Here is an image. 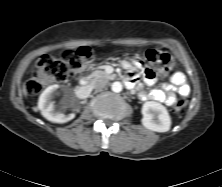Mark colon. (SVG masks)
Listing matches in <instances>:
<instances>
[{"label": "colon", "instance_id": "colon-1", "mask_svg": "<svg viewBox=\"0 0 222 187\" xmlns=\"http://www.w3.org/2000/svg\"><path fill=\"white\" fill-rule=\"evenodd\" d=\"M145 59L153 66V70L148 71L153 76L154 73H167L173 67L171 56L161 50H147ZM91 61L92 53L86 48L67 50L63 52L61 58L51 55L41 56L37 61L34 74L27 82L28 94L37 95L45 86L54 82H62L68 78H81L89 69ZM187 104V98L181 96L175 101L173 110L176 113H181Z\"/></svg>", "mask_w": 222, "mask_h": 187}]
</instances>
